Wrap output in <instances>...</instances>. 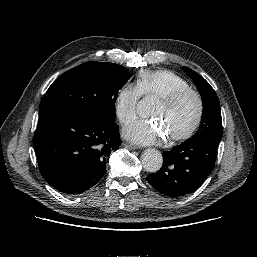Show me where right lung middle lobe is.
Masks as SVG:
<instances>
[{"label":"right lung middle lobe","instance_id":"1","mask_svg":"<svg viewBox=\"0 0 257 257\" xmlns=\"http://www.w3.org/2000/svg\"><path fill=\"white\" fill-rule=\"evenodd\" d=\"M130 77L125 67L115 63H83L51 84L41 101L39 116L72 110L115 121L118 91Z\"/></svg>","mask_w":257,"mask_h":257}]
</instances>
